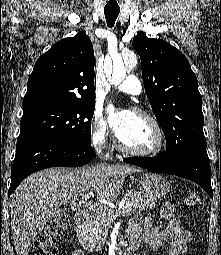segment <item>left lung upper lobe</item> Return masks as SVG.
Wrapping results in <instances>:
<instances>
[{
    "label": "left lung upper lobe",
    "mask_w": 221,
    "mask_h": 255,
    "mask_svg": "<svg viewBox=\"0 0 221 255\" xmlns=\"http://www.w3.org/2000/svg\"><path fill=\"white\" fill-rule=\"evenodd\" d=\"M141 58L148 100L166 138L165 156L206 149L202 97L187 58L174 46L143 33L133 39Z\"/></svg>",
    "instance_id": "obj_1"
}]
</instances>
